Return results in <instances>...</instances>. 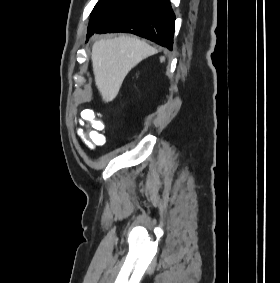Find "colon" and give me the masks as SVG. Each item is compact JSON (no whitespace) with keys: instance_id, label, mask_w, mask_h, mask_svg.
I'll return each instance as SVG.
<instances>
[{"instance_id":"obj_1","label":"colon","mask_w":280,"mask_h":283,"mask_svg":"<svg viewBox=\"0 0 280 283\" xmlns=\"http://www.w3.org/2000/svg\"><path fill=\"white\" fill-rule=\"evenodd\" d=\"M83 122L87 125L88 130L82 132V137L91 146H100L105 142L103 134L104 124L100 120L101 114H94L91 111L82 113Z\"/></svg>"}]
</instances>
